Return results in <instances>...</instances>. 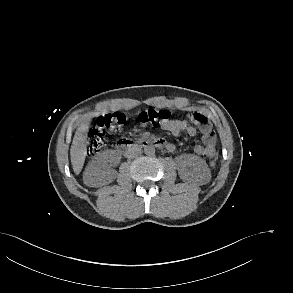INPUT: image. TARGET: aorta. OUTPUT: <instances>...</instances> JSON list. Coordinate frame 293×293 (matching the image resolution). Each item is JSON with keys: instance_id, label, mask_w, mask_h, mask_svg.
I'll return each instance as SVG.
<instances>
[{"instance_id": "1", "label": "aorta", "mask_w": 293, "mask_h": 293, "mask_svg": "<svg viewBox=\"0 0 293 293\" xmlns=\"http://www.w3.org/2000/svg\"><path fill=\"white\" fill-rule=\"evenodd\" d=\"M144 153L148 156H152L155 154V148L153 145H146L144 147Z\"/></svg>"}]
</instances>
